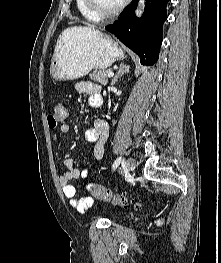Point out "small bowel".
<instances>
[{"label": "small bowel", "mask_w": 221, "mask_h": 263, "mask_svg": "<svg viewBox=\"0 0 221 263\" xmlns=\"http://www.w3.org/2000/svg\"><path fill=\"white\" fill-rule=\"evenodd\" d=\"M75 89L78 93L86 94L89 99V104L93 107L102 103L101 87L100 85L92 82H79L75 85ZM70 131V126L63 123L59 126L57 131L53 135V140H57L58 132L61 134H67ZM109 133V125L106 121L97 119L93 122V126L89 128L85 137L86 140L93 145L92 152L95 159H100L104 153V143ZM62 164L67 168V171L60 176L59 184L61 186L64 196L69 200L71 207L75 208L79 212H85L94 203L92 197H78L76 194V188L70 184L71 180L82 179L84 180L92 165H89L84 170L79 169L73 163V160L66 158L62 161Z\"/></svg>", "instance_id": "c3829d8e"}]
</instances>
